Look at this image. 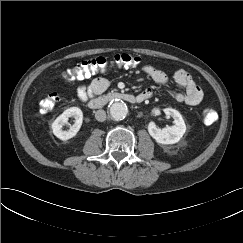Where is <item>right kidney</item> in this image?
Here are the masks:
<instances>
[{
    "mask_svg": "<svg viewBox=\"0 0 243 243\" xmlns=\"http://www.w3.org/2000/svg\"><path fill=\"white\" fill-rule=\"evenodd\" d=\"M75 118V123L70 126L69 130L64 131L62 128L67 123L69 117ZM83 122V113L78 107H70L59 115L51 125L53 134L60 140H68L73 138L79 131Z\"/></svg>",
    "mask_w": 243,
    "mask_h": 243,
    "instance_id": "obj_1",
    "label": "right kidney"
}]
</instances>
